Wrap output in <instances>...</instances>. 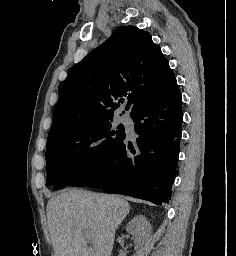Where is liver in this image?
<instances>
[{
	"label": "liver",
	"mask_w": 236,
	"mask_h": 256,
	"mask_svg": "<svg viewBox=\"0 0 236 256\" xmlns=\"http://www.w3.org/2000/svg\"><path fill=\"white\" fill-rule=\"evenodd\" d=\"M130 206L119 196L63 190L50 198L46 216L55 256H111L116 228ZM83 230L92 246L88 248Z\"/></svg>",
	"instance_id": "6515ba94"
}]
</instances>
